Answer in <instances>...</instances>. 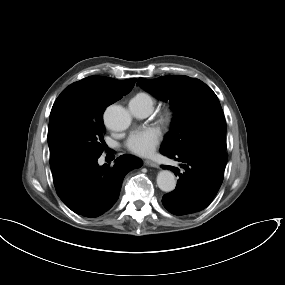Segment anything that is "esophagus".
<instances>
[{
    "label": "esophagus",
    "instance_id": "obj_1",
    "mask_svg": "<svg viewBox=\"0 0 285 285\" xmlns=\"http://www.w3.org/2000/svg\"><path fill=\"white\" fill-rule=\"evenodd\" d=\"M143 164L145 166H150V167H155V168L159 167V165L157 163H155V162H153L152 160H149V159L144 160Z\"/></svg>",
    "mask_w": 285,
    "mask_h": 285
}]
</instances>
